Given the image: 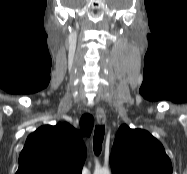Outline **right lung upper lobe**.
Returning <instances> with one entry per match:
<instances>
[{"mask_svg":"<svg viewBox=\"0 0 187 174\" xmlns=\"http://www.w3.org/2000/svg\"><path fill=\"white\" fill-rule=\"evenodd\" d=\"M93 122L79 132L69 123L45 125L28 136L16 174H81L86 158L82 135L90 136Z\"/></svg>","mask_w":187,"mask_h":174,"instance_id":"cb5924a9","label":"right lung upper lobe"}]
</instances>
